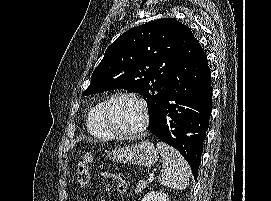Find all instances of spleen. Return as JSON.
<instances>
[{
	"label": "spleen",
	"mask_w": 271,
	"mask_h": 201,
	"mask_svg": "<svg viewBox=\"0 0 271 201\" xmlns=\"http://www.w3.org/2000/svg\"><path fill=\"white\" fill-rule=\"evenodd\" d=\"M157 148L162 156L166 170L159 176V182L172 189L184 190L189 184V166L184 157L172 146L158 142Z\"/></svg>",
	"instance_id": "1"
}]
</instances>
